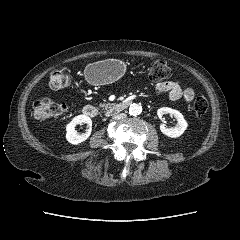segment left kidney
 Returning a JSON list of instances; mask_svg holds the SVG:
<instances>
[{"label": "left kidney", "mask_w": 240, "mask_h": 240, "mask_svg": "<svg viewBox=\"0 0 240 240\" xmlns=\"http://www.w3.org/2000/svg\"><path fill=\"white\" fill-rule=\"evenodd\" d=\"M164 114H171L177 120V125L175 127H166L164 124L160 126L161 132L171 138H177L181 136L186 130L188 124L184 116L175 109L169 107H162L157 110V115L160 119Z\"/></svg>", "instance_id": "obj_1"}]
</instances>
